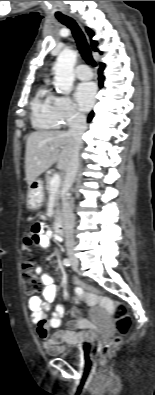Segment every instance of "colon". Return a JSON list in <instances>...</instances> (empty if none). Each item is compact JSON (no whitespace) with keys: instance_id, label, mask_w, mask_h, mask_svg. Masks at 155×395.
Here are the masks:
<instances>
[{"instance_id":"colon-1","label":"colon","mask_w":155,"mask_h":395,"mask_svg":"<svg viewBox=\"0 0 155 395\" xmlns=\"http://www.w3.org/2000/svg\"><path fill=\"white\" fill-rule=\"evenodd\" d=\"M21 279L27 294L32 295L38 293L42 289V282L36 273L35 263L31 259H26L24 261ZM72 283L73 285H81L83 288L88 286V283L83 281L82 278H73ZM90 290H92L94 294H101V291H99L97 287H90ZM113 309L115 312V324L118 335L100 344L97 355L101 362H106L112 351L119 345L121 336L126 335L130 331L132 325L130 314L124 305L116 303L113 305Z\"/></svg>"}]
</instances>
